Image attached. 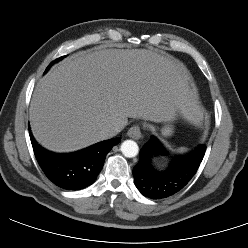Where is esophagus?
<instances>
[{
  "label": "esophagus",
  "mask_w": 248,
  "mask_h": 248,
  "mask_svg": "<svg viewBox=\"0 0 248 248\" xmlns=\"http://www.w3.org/2000/svg\"><path fill=\"white\" fill-rule=\"evenodd\" d=\"M127 135H128L130 138H133V139H139V138H141L142 133H141L140 127H139L138 125L132 126V127L128 130Z\"/></svg>",
  "instance_id": "esophagus-1"
}]
</instances>
